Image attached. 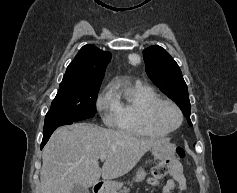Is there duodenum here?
<instances>
[{"instance_id":"obj_1","label":"duodenum","mask_w":237,"mask_h":193,"mask_svg":"<svg viewBox=\"0 0 237 193\" xmlns=\"http://www.w3.org/2000/svg\"><path fill=\"white\" fill-rule=\"evenodd\" d=\"M105 184L103 182H97L94 186L95 193H104L105 192Z\"/></svg>"}]
</instances>
